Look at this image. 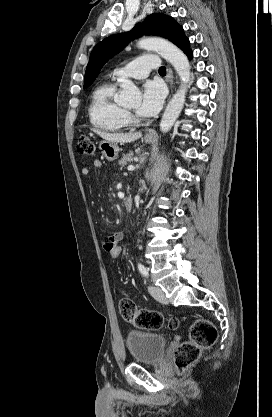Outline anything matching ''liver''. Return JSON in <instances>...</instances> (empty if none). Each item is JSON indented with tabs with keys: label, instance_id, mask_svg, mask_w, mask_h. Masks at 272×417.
I'll return each instance as SVG.
<instances>
[{
	"label": "liver",
	"instance_id": "liver-1",
	"mask_svg": "<svg viewBox=\"0 0 272 417\" xmlns=\"http://www.w3.org/2000/svg\"><path fill=\"white\" fill-rule=\"evenodd\" d=\"M93 132L98 134L101 138L106 141L114 142V143H131L137 139H139L142 134L140 132L136 133H108L104 131H100L98 129H92Z\"/></svg>",
	"mask_w": 272,
	"mask_h": 417
}]
</instances>
